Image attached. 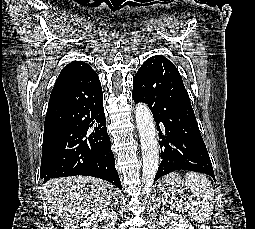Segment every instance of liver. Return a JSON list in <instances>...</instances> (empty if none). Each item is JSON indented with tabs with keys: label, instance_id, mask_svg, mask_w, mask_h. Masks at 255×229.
I'll return each instance as SVG.
<instances>
[{
	"label": "liver",
	"instance_id": "1",
	"mask_svg": "<svg viewBox=\"0 0 255 229\" xmlns=\"http://www.w3.org/2000/svg\"><path fill=\"white\" fill-rule=\"evenodd\" d=\"M115 193L107 181L86 176L57 178L44 186L48 210L63 222L64 229H75L89 214L109 206Z\"/></svg>",
	"mask_w": 255,
	"mask_h": 229
}]
</instances>
